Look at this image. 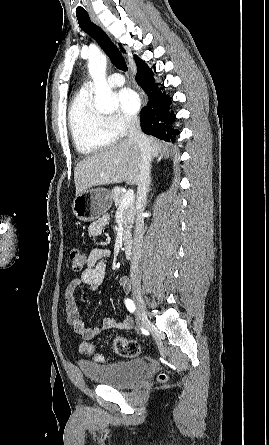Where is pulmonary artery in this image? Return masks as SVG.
<instances>
[{"label":"pulmonary artery","mask_w":269,"mask_h":445,"mask_svg":"<svg viewBox=\"0 0 269 445\" xmlns=\"http://www.w3.org/2000/svg\"><path fill=\"white\" fill-rule=\"evenodd\" d=\"M107 82L111 87H119L125 83V79L121 74L113 73L108 77ZM84 87L91 90L93 88V83L91 81H87L84 84Z\"/></svg>","instance_id":"1"}]
</instances>
